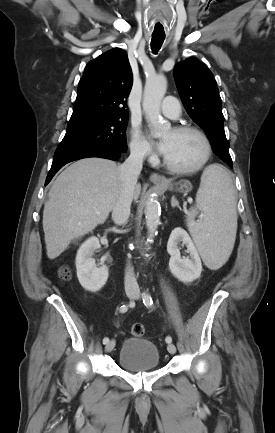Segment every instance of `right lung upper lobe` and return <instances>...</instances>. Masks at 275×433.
Masks as SVG:
<instances>
[{
  "mask_svg": "<svg viewBox=\"0 0 275 433\" xmlns=\"http://www.w3.org/2000/svg\"><path fill=\"white\" fill-rule=\"evenodd\" d=\"M133 82L127 54L114 48L90 61L78 85L71 119L100 116L128 117L126 99Z\"/></svg>",
  "mask_w": 275,
  "mask_h": 433,
  "instance_id": "right-lung-upper-lobe-1",
  "label": "right lung upper lobe"
}]
</instances>
